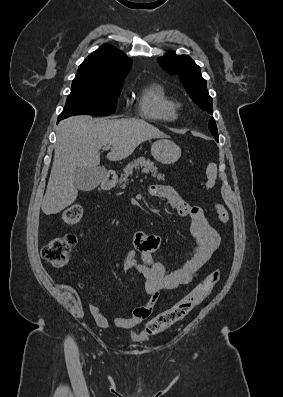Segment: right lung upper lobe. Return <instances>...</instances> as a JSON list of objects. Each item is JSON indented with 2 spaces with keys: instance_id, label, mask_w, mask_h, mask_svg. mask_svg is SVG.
<instances>
[{
  "instance_id": "right-lung-upper-lobe-1",
  "label": "right lung upper lobe",
  "mask_w": 283,
  "mask_h": 397,
  "mask_svg": "<svg viewBox=\"0 0 283 397\" xmlns=\"http://www.w3.org/2000/svg\"><path fill=\"white\" fill-rule=\"evenodd\" d=\"M131 66L132 60L122 51L109 44H103L84 60L79 66L76 76L118 81L125 79Z\"/></svg>"
}]
</instances>
